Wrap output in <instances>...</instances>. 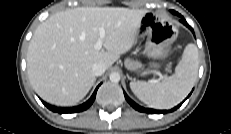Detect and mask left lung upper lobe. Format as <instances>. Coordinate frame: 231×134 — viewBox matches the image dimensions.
I'll return each instance as SVG.
<instances>
[{
  "mask_svg": "<svg viewBox=\"0 0 231 134\" xmlns=\"http://www.w3.org/2000/svg\"><path fill=\"white\" fill-rule=\"evenodd\" d=\"M172 13L176 14V12H175V11H172Z\"/></svg>",
  "mask_w": 231,
  "mask_h": 134,
  "instance_id": "left-lung-upper-lobe-1",
  "label": "left lung upper lobe"
}]
</instances>
